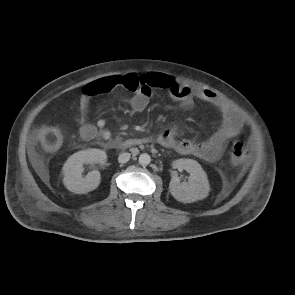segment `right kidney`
I'll use <instances>...</instances> for the list:
<instances>
[{
  "label": "right kidney",
  "instance_id": "ca27d5eb",
  "mask_svg": "<svg viewBox=\"0 0 295 295\" xmlns=\"http://www.w3.org/2000/svg\"><path fill=\"white\" fill-rule=\"evenodd\" d=\"M106 159V153L100 149H86L74 153L63 166V184L76 194H85L96 189L100 184V172L94 170L83 177V164L104 163Z\"/></svg>",
  "mask_w": 295,
  "mask_h": 295
}]
</instances>
